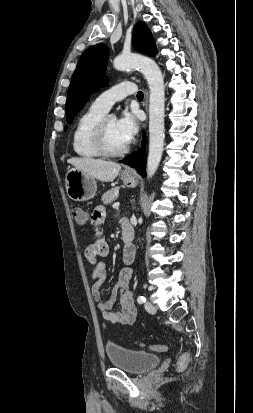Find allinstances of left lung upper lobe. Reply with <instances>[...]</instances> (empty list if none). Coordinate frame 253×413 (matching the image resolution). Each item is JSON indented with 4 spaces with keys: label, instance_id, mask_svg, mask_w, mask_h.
I'll use <instances>...</instances> for the list:
<instances>
[{
    "label": "left lung upper lobe",
    "instance_id": "1",
    "mask_svg": "<svg viewBox=\"0 0 253 413\" xmlns=\"http://www.w3.org/2000/svg\"><path fill=\"white\" fill-rule=\"evenodd\" d=\"M132 44L134 49L139 52L150 56L156 55L157 49L153 36L143 22H138L135 25ZM108 56L109 52L106 46L98 44L87 49L79 59L71 79L65 104L69 124L72 123L73 118L90 95L108 84V79L105 76Z\"/></svg>",
    "mask_w": 253,
    "mask_h": 413
}]
</instances>
